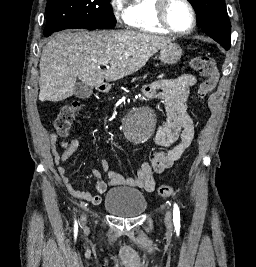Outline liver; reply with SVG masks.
Returning <instances> with one entry per match:
<instances>
[{
	"mask_svg": "<svg viewBox=\"0 0 256 267\" xmlns=\"http://www.w3.org/2000/svg\"><path fill=\"white\" fill-rule=\"evenodd\" d=\"M172 40L131 30H65L44 46L40 58L39 100L61 102L72 96L79 78L87 86H102L130 76L145 66ZM100 62H107L101 70Z\"/></svg>",
	"mask_w": 256,
	"mask_h": 267,
	"instance_id": "1",
	"label": "liver"
}]
</instances>
